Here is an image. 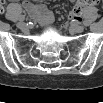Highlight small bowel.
Listing matches in <instances>:
<instances>
[{"instance_id":"c3829d8e","label":"small bowel","mask_w":103,"mask_h":103,"mask_svg":"<svg viewBox=\"0 0 103 103\" xmlns=\"http://www.w3.org/2000/svg\"><path fill=\"white\" fill-rule=\"evenodd\" d=\"M5 2L2 1L0 3V9H4ZM23 9L26 13L31 16L32 18L38 20L40 24L43 26H47L51 24L54 20V16L51 11H49L45 5L40 3H35L32 1H23L22 3Z\"/></svg>"}]
</instances>
